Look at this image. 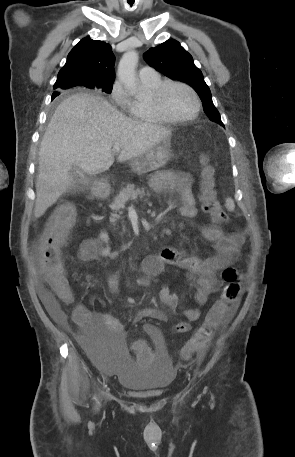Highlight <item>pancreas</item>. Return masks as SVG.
<instances>
[{
  "label": "pancreas",
  "mask_w": 295,
  "mask_h": 457,
  "mask_svg": "<svg viewBox=\"0 0 295 457\" xmlns=\"http://www.w3.org/2000/svg\"><path fill=\"white\" fill-rule=\"evenodd\" d=\"M144 196H150L149 192H145L144 188H136L135 185L129 184L126 188H123L120 193L114 198L113 203L111 204V209L115 213L111 214L110 222L115 225V222L120 218L116 212L125 208V203L129 200H136L137 198H142Z\"/></svg>",
  "instance_id": "obj_1"
}]
</instances>
